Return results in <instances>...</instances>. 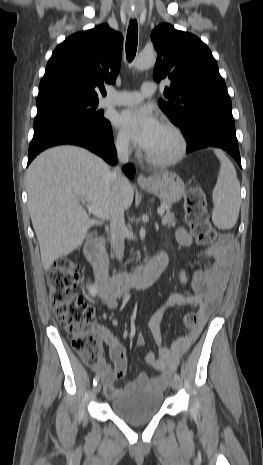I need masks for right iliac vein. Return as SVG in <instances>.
Wrapping results in <instances>:
<instances>
[{"instance_id": "right-iliac-vein-1", "label": "right iliac vein", "mask_w": 263, "mask_h": 465, "mask_svg": "<svg viewBox=\"0 0 263 465\" xmlns=\"http://www.w3.org/2000/svg\"><path fill=\"white\" fill-rule=\"evenodd\" d=\"M101 391V384L98 382L94 387V392L98 394Z\"/></svg>"}]
</instances>
